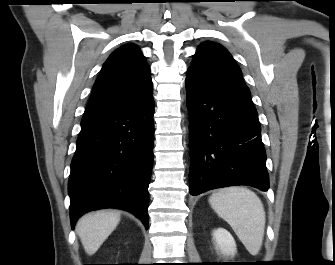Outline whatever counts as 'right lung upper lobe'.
Instances as JSON below:
<instances>
[{
  "label": "right lung upper lobe",
  "instance_id": "right-lung-upper-lobe-1",
  "mask_svg": "<svg viewBox=\"0 0 335 265\" xmlns=\"http://www.w3.org/2000/svg\"><path fill=\"white\" fill-rule=\"evenodd\" d=\"M152 95L150 68L135 44L115 50L104 63L84 114L119 109Z\"/></svg>",
  "mask_w": 335,
  "mask_h": 265
}]
</instances>
